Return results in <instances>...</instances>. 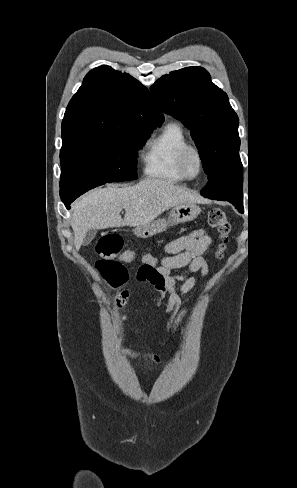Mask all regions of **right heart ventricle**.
Instances as JSON below:
<instances>
[{
	"label": "right heart ventricle",
	"instance_id": "1",
	"mask_svg": "<svg viewBox=\"0 0 297 488\" xmlns=\"http://www.w3.org/2000/svg\"><path fill=\"white\" fill-rule=\"evenodd\" d=\"M189 145L183 128L176 122L167 123L144 147L141 157L144 174L167 182L185 181L178 168V157Z\"/></svg>",
	"mask_w": 297,
	"mask_h": 488
}]
</instances>
